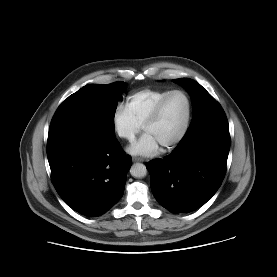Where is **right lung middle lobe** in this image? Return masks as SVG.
I'll return each mask as SVG.
<instances>
[{"mask_svg": "<svg viewBox=\"0 0 277 277\" xmlns=\"http://www.w3.org/2000/svg\"><path fill=\"white\" fill-rule=\"evenodd\" d=\"M125 87L124 82L107 85H86L70 95L54 116H75L89 120L114 135V115L117 100Z\"/></svg>", "mask_w": 277, "mask_h": 277, "instance_id": "right-lung-middle-lobe-1", "label": "right lung middle lobe"}]
</instances>
